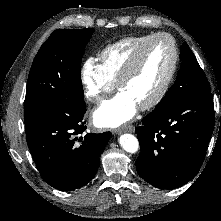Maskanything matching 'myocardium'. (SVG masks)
Segmentation results:
<instances>
[{
  "label": "myocardium",
  "mask_w": 221,
  "mask_h": 221,
  "mask_svg": "<svg viewBox=\"0 0 221 221\" xmlns=\"http://www.w3.org/2000/svg\"><path fill=\"white\" fill-rule=\"evenodd\" d=\"M159 38H167L170 40V42L172 44V50H173L172 62H171L169 72H168L165 80L163 81L162 85L158 89V91L154 94V96L150 100H148L146 103L139 106V109L142 111L150 110V109H153L154 107H156L161 102V100L164 98V96L166 95V93L168 92V90L170 88V85H171L173 78L175 76L177 66H178V61H179V49H178V45H177L175 38L171 34L166 33V32H158V33L151 35L132 54V56L130 57V59L126 63L123 71L121 72V74L116 82L117 88H118V90H120L122 88V86L127 81H129L138 71L146 48L152 42H154L155 40H157Z\"/></svg>",
  "instance_id": "obj_1"
}]
</instances>
